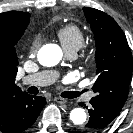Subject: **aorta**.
I'll return each mask as SVG.
<instances>
[{
	"mask_svg": "<svg viewBox=\"0 0 133 133\" xmlns=\"http://www.w3.org/2000/svg\"><path fill=\"white\" fill-rule=\"evenodd\" d=\"M62 50L56 44L44 45L38 52V61L41 65L46 67H52L57 65L62 59ZM87 119V115L84 109L74 108L70 112V120L75 125L83 124Z\"/></svg>",
	"mask_w": 133,
	"mask_h": 133,
	"instance_id": "762f6f07",
	"label": "aorta"
}]
</instances>
